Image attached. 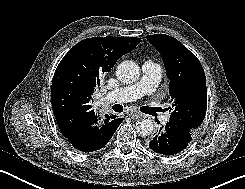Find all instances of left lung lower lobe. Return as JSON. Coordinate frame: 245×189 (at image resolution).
Wrapping results in <instances>:
<instances>
[{
    "label": "left lung lower lobe",
    "instance_id": "0a47b994",
    "mask_svg": "<svg viewBox=\"0 0 245 189\" xmlns=\"http://www.w3.org/2000/svg\"><path fill=\"white\" fill-rule=\"evenodd\" d=\"M191 139V134H181L166 124L150 140L149 148L162 155H174L184 150Z\"/></svg>",
    "mask_w": 245,
    "mask_h": 189
}]
</instances>
